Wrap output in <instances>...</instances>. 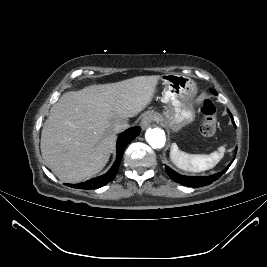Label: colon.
<instances>
[{
  "instance_id": "5ec220e1",
  "label": "colon",
  "mask_w": 267,
  "mask_h": 267,
  "mask_svg": "<svg viewBox=\"0 0 267 267\" xmlns=\"http://www.w3.org/2000/svg\"><path fill=\"white\" fill-rule=\"evenodd\" d=\"M201 112L204 115V121L200 126V132L205 138H212L217 132V107L212 101L206 100Z\"/></svg>"
}]
</instances>
